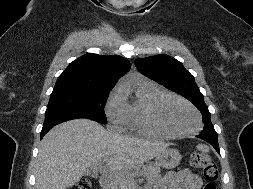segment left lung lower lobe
Instances as JSON below:
<instances>
[{
  "label": "left lung lower lobe",
  "mask_w": 253,
  "mask_h": 189,
  "mask_svg": "<svg viewBox=\"0 0 253 189\" xmlns=\"http://www.w3.org/2000/svg\"><path fill=\"white\" fill-rule=\"evenodd\" d=\"M197 137L208 141L215 148V150L220 154L217 135H209V134L200 133L199 135H197Z\"/></svg>",
  "instance_id": "1"
}]
</instances>
